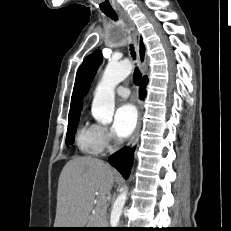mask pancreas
<instances>
[{"label":"pancreas","mask_w":231,"mask_h":231,"mask_svg":"<svg viewBox=\"0 0 231 231\" xmlns=\"http://www.w3.org/2000/svg\"><path fill=\"white\" fill-rule=\"evenodd\" d=\"M106 214V203L98 205L96 208V213L94 216L91 217L89 223L99 228L106 227L108 224Z\"/></svg>","instance_id":"obj_1"}]
</instances>
